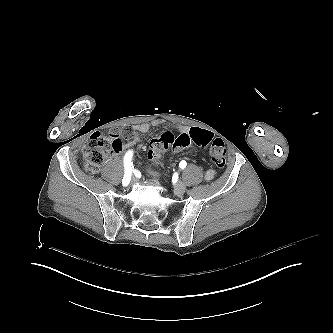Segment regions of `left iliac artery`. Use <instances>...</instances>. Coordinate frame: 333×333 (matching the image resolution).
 <instances>
[{"instance_id":"left-iliac-artery-1","label":"left iliac artery","mask_w":333,"mask_h":333,"mask_svg":"<svg viewBox=\"0 0 333 333\" xmlns=\"http://www.w3.org/2000/svg\"><path fill=\"white\" fill-rule=\"evenodd\" d=\"M186 165H187L186 161H181L179 164L180 168H182V169H184L186 167Z\"/></svg>"}]
</instances>
